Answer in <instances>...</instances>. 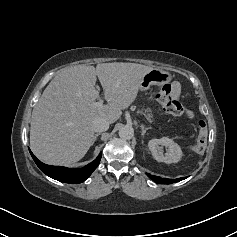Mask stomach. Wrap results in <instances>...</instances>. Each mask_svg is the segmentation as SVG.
Masks as SVG:
<instances>
[{
	"instance_id": "obj_1",
	"label": "stomach",
	"mask_w": 237,
	"mask_h": 237,
	"mask_svg": "<svg viewBox=\"0 0 237 237\" xmlns=\"http://www.w3.org/2000/svg\"><path fill=\"white\" fill-rule=\"evenodd\" d=\"M172 77L173 76L167 71L153 68L143 76L140 82V90L146 91L152 85H162L169 83Z\"/></svg>"
}]
</instances>
